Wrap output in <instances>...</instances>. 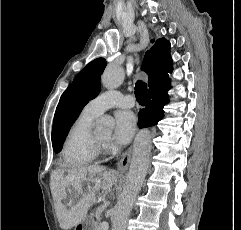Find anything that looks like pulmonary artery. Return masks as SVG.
Here are the masks:
<instances>
[{
	"instance_id": "pulmonary-artery-1",
	"label": "pulmonary artery",
	"mask_w": 241,
	"mask_h": 230,
	"mask_svg": "<svg viewBox=\"0 0 241 230\" xmlns=\"http://www.w3.org/2000/svg\"><path fill=\"white\" fill-rule=\"evenodd\" d=\"M133 106L134 98L131 95H123L119 91L108 90L90 100L84 110L92 115L99 116L110 108H129Z\"/></svg>"
}]
</instances>
